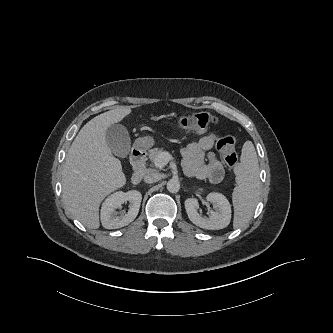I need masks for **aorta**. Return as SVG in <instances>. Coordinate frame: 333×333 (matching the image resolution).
<instances>
[{
    "mask_svg": "<svg viewBox=\"0 0 333 333\" xmlns=\"http://www.w3.org/2000/svg\"><path fill=\"white\" fill-rule=\"evenodd\" d=\"M180 189V183L177 179H171L167 182V190L171 193H177Z\"/></svg>",
    "mask_w": 333,
    "mask_h": 333,
    "instance_id": "obj_1",
    "label": "aorta"
}]
</instances>
